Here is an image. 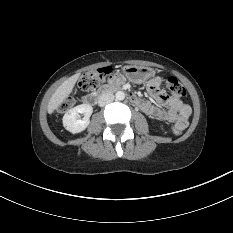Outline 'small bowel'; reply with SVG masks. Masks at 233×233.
I'll use <instances>...</instances> for the list:
<instances>
[{"label":"small bowel","mask_w":233,"mask_h":233,"mask_svg":"<svg viewBox=\"0 0 233 233\" xmlns=\"http://www.w3.org/2000/svg\"><path fill=\"white\" fill-rule=\"evenodd\" d=\"M125 79L124 73L114 74L111 82L114 85H120ZM150 96L157 102V105L150 101L139 99L137 106L148 116L161 121L174 123L181 130L187 127L191 108L178 98L169 97L162 88V82L159 78L151 77L146 82Z\"/></svg>","instance_id":"c3829d8e"}]
</instances>
